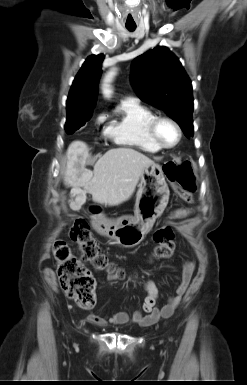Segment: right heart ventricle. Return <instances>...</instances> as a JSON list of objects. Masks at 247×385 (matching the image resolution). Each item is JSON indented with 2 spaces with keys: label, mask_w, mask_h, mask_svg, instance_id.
I'll use <instances>...</instances> for the list:
<instances>
[{
  "label": "right heart ventricle",
  "mask_w": 247,
  "mask_h": 385,
  "mask_svg": "<svg viewBox=\"0 0 247 385\" xmlns=\"http://www.w3.org/2000/svg\"><path fill=\"white\" fill-rule=\"evenodd\" d=\"M154 116L151 109L138 102H122L106 129V135L116 144L134 147L146 153H157L161 149L148 134V124Z\"/></svg>",
  "instance_id": "obj_1"
}]
</instances>
